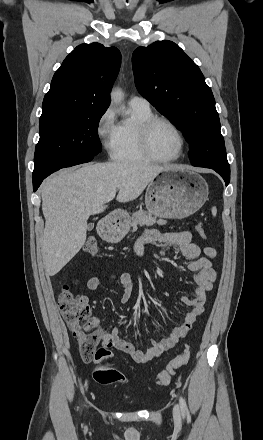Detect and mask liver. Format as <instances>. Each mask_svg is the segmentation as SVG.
I'll list each match as a JSON object with an SVG mask.
<instances>
[{"label": "liver", "instance_id": "6515ba94", "mask_svg": "<svg viewBox=\"0 0 263 440\" xmlns=\"http://www.w3.org/2000/svg\"><path fill=\"white\" fill-rule=\"evenodd\" d=\"M176 168L143 162H107L66 169L41 186L45 229L42 255L45 272L56 275L83 247L90 215L107 208L106 197L119 190L117 201H133L161 172Z\"/></svg>", "mask_w": 263, "mask_h": 440}]
</instances>
